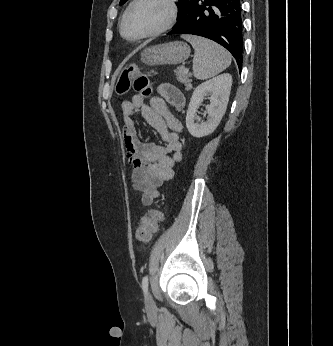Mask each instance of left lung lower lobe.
<instances>
[{
  "label": "left lung lower lobe",
  "instance_id": "obj_1",
  "mask_svg": "<svg viewBox=\"0 0 333 346\" xmlns=\"http://www.w3.org/2000/svg\"><path fill=\"white\" fill-rule=\"evenodd\" d=\"M168 34H193L225 47L241 70L243 26L240 0H192L184 17Z\"/></svg>",
  "mask_w": 333,
  "mask_h": 346
}]
</instances>
